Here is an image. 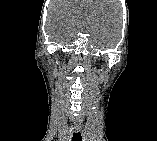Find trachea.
<instances>
[{"mask_svg":"<svg viewBox=\"0 0 157 141\" xmlns=\"http://www.w3.org/2000/svg\"><path fill=\"white\" fill-rule=\"evenodd\" d=\"M72 140L73 141H82L81 133L80 132H74Z\"/></svg>","mask_w":157,"mask_h":141,"instance_id":"1","label":"trachea"}]
</instances>
